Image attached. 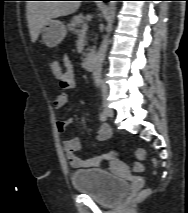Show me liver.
Returning <instances> with one entry per match:
<instances>
[{
	"mask_svg": "<svg viewBox=\"0 0 188 213\" xmlns=\"http://www.w3.org/2000/svg\"><path fill=\"white\" fill-rule=\"evenodd\" d=\"M79 6V1H28L26 9L31 41L36 42L46 23L74 13Z\"/></svg>",
	"mask_w": 188,
	"mask_h": 213,
	"instance_id": "liver-1",
	"label": "liver"
}]
</instances>
